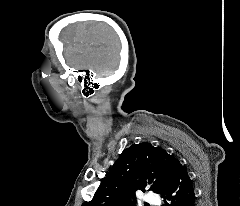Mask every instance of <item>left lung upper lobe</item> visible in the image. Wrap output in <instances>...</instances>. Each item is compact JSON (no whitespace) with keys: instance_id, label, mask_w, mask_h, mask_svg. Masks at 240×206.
<instances>
[{"instance_id":"obj_1","label":"left lung upper lobe","mask_w":240,"mask_h":206,"mask_svg":"<svg viewBox=\"0 0 240 206\" xmlns=\"http://www.w3.org/2000/svg\"><path fill=\"white\" fill-rule=\"evenodd\" d=\"M178 160L150 143L133 144L125 149L107 173L92 201L82 206L131 205L136 190L163 194Z\"/></svg>"}]
</instances>
